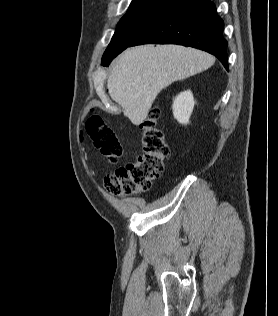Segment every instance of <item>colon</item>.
I'll return each mask as SVG.
<instances>
[{
    "mask_svg": "<svg viewBox=\"0 0 278 316\" xmlns=\"http://www.w3.org/2000/svg\"><path fill=\"white\" fill-rule=\"evenodd\" d=\"M159 117V108L152 107L140 124L143 153L134 162L117 168L105 177L104 186L111 194L124 196L143 193L160 176L169 147L157 126ZM86 134L110 162L116 163L120 159L123 148L118 134L100 116L93 115L87 120Z\"/></svg>",
    "mask_w": 278,
    "mask_h": 316,
    "instance_id": "obj_1",
    "label": "colon"
}]
</instances>
